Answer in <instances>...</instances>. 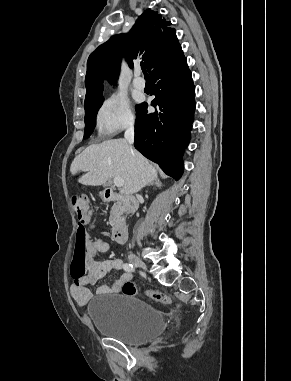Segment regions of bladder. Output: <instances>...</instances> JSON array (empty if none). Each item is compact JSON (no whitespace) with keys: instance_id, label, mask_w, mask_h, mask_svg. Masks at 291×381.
Wrapping results in <instances>:
<instances>
[{"instance_id":"bladder-1","label":"bladder","mask_w":291,"mask_h":381,"mask_svg":"<svg viewBox=\"0 0 291 381\" xmlns=\"http://www.w3.org/2000/svg\"><path fill=\"white\" fill-rule=\"evenodd\" d=\"M88 316L101 334L127 344L147 343L165 329L164 317L132 295H97L88 302Z\"/></svg>"}]
</instances>
